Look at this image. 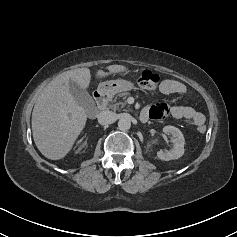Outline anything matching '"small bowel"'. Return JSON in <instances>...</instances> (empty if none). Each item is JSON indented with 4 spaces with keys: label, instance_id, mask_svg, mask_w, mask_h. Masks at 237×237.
Returning <instances> with one entry per match:
<instances>
[{
    "label": "small bowel",
    "instance_id": "1",
    "mask_svg": "<svg viewBox=\"0 0 237 237\" xmlns=\"http://www.w3.org/2000/svg\"><path fill=\"white\" fill-rule=\"evenodd\" d=\"M160 92L165 95L186 93V86L175 79H164L159 88ZM167 115L175 119L184 120L196 127H201L205 123L204 115L188 105H173L170 106L165 102H159L152 106L146 107L141 113L143 121L149 118L160 119Z\"/></svg>",
    "mask_w": 237,
    "mask_h": 237
}]
</instances>
